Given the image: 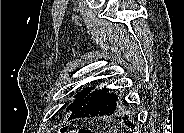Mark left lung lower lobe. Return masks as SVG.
I'll use <instances>...</instances> for the list:
<instances>
[{
  "instance_id": "obj_1",
  "label": "left lung lower lobe",
  "mask_w": 184,
  "mask_h": 133,
  "mask_svg": "<svg viewBox=\"0 0 184 133\" xmlns=\"http://www.w3.org/2000/svg\"><path fill=\"white\" fill-rule=\"evenodd\" d=\"M92 91L73 109L68 120L84 117L111 116L117 117L129 128L135 127L136 117L122 105L127 103L111 89L102 88ZM128 104V103H127ZM119 116V117H118Z\"/></svg>"
}]
</instances>
